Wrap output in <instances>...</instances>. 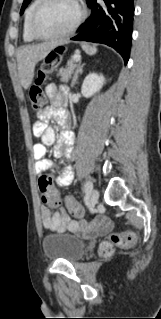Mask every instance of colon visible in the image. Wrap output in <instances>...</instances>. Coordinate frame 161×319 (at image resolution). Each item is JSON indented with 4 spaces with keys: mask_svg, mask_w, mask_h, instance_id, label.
Returning <instances> with one entry per match:
<instances>
[{
    "mask_svg": "<svg viewBox=\"0 0 161 319\" xmlns=\"http://www.w3.org/2000/svg\"><path fill=\"white\" fill-rule=\"evenodd\" d=\"M63 54L62 48H56L51 51L42 61L35 80L29 87V98L31 106L34 110H39L44 105L43 84L46 81L47 75L59 65ZM53 184L51 176L44 175L40 178L41 185V200L43 204L49 206H60L62 204L61 197L49 189ZM70 214L81 215L82 207H77L72 204L68 205ZM137 236L135 233H114L106 241L100 244L99 250L103 256H110L115 248H128L135 245Z\"/></svg>",
    "mask_w": 161,
    "mask_h": 319,
    "instance_id": "1",
    "label": "colon"
}]
</instances>
